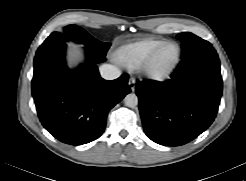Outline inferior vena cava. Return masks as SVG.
Instances as JSON below:
<instances>
[{
  "mask_svg": "<svg viewBox=\"0 0 246 181\" xmlns=\"http://www.w3.org/2000/svg\"><path fill=\"white\" fill-rule=\"evenodd\" d=\"M99 71H100L101 77L106 80H114V79H117L121 75L120 70L116 66L110 65V64L101 65L99 67Z\"/></svg>",
  "mask_w": 246,
  "mask_h": 181,
  "instance_id": "inferior-vena-cava-1",
  "label": "inferior vena cava"
}]
</instances>
